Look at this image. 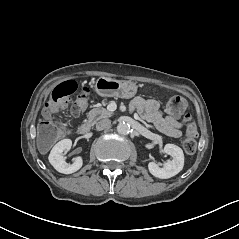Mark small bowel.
Instances as JSON below:
<instances>
[{"instance_id": "1", "label": "small bowel", "mask_w": 239, "mask_h": 239, "mask_svg": "<svg viewBox=\"0 0 239 239\" xmlns=\"http://www.w3.org/2000/svg\"><path fill=\"white\" fill-rule=\"evenodd\" d=\"M131 108L144 120L152 123L155 127L169 137L179 138L182 136L181 124L175 116H163L160 105L154 99L135 97L131 102Z\"/></svg>"}]
</instances>
